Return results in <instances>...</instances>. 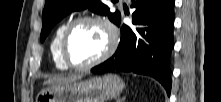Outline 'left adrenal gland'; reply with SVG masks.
I'll use <instances>...</instances> for the list:
<instances>
[{"mask_svg": "<svg viewBox=\"0 0 221 102\" xmlns=\"http://www.w3.org/2000/svg\"><path fill=\"white\" fill-rule=\"evenodd\" d=\"M124 99H125V97L124 98H118L116 101L117 102H124Z\"/></svg>", "mask_w": 221, "mask_h": 102, "instance_id": "1", "label": "left adrenal gland"}]
</instances>
